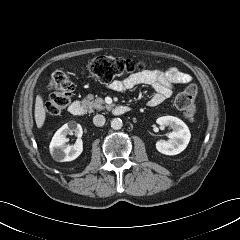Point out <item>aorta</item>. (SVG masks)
Instances as JSON below:
<instances>
[{
	"mask_svg": "<svg viewBox=\"0 0 240 240\" xmlns=\"http://www.w3.org/2000/svg\"><path fill=\"white\" fill-rule=\"evenodd\" d=\"M123 126V122L120 118H114L112 119L111 121V127L114 129V130H119L121 129Z\"/></svg>",
	"mask_w": 240,
	"mask_h": 240,
	"instance_id": "762f6f07",
	"label": "aorta"
}]
</instances>
